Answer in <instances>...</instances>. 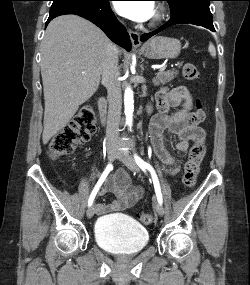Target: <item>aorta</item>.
<instances>
[{
  "label": "aorta",
  "instance_id": "1",
  "mask_svg": "<svg viewBox=\"0 0 250 285\" xmlns=\"http://www.w3.org/2000/svg\"><path fill=\"white\" fill-rule=\"evenodd\" d=\"M124 105H125L126 124L129 127H131L133 120V112H134V99H133V91L130 87H127L125 89Z\"/></svg>",
  "mask_w": 250,
  "mask_h": 285
}]
</instances>
